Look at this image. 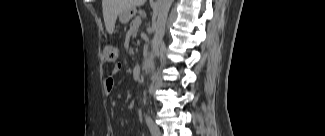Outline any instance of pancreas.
<instances>
[{"instance_id": "1", "label": "pancreas", "mask_w": 325, "mask_h": 136, "mask_svg": "<svg viewBox=\"0 0 325 136\" xmlns=\"http://www.w3.org/2000/svg\"><path fill=\"white\" fill-rule=\"evenodd\" d=\"M133 22H134V18H131L130 20H129V23L127 24L129 27L130 26H133Z\"/></svg>"}]
</instances>
